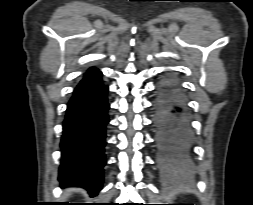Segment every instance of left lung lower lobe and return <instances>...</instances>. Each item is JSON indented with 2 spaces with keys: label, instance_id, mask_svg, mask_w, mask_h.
<instances>
[{
  "label": "left lung lower lobe",
  "instance_id": "0a47b994",
  "mask_svg": "<svg viewBox=\"0 0 253 205\" xmlns=\"http://www.w3.org/2000/svg\"><path fill=\"white\" fill-rule=\"evenodd\" d=\"M154 111L160 162L163 165H185L187 121L183 101L172 84L165 83L160 88L154 102Z\"/></svg>",
  "mask_w": 253,
  "mask_h": 205
}]
</instances>
